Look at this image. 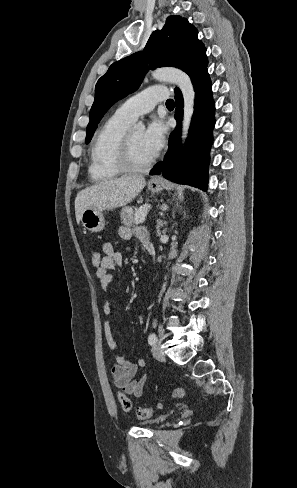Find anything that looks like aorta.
Listing matches in <instances>:
<instances>
[{
	"mask_svg": "<svg viewBox=\"0 0 297 488\" xmlns=\"http://www.w3.org/2000/svg\"><path fill=\"white\" fill-rule=\"evenodd\" d=\"M152 77L158 81H169L176 84L183 95V121H182V143L185 142L191 119L194 112L195 91L190 77L179 69L174 68H158L152 72ZM135 128H144L142 122H138Z\"/></svg>",
	"mask_w": 297,
	"mask_h": 488,
	"instance_id": "aorta-1",
	"label": "aorta"
}]
</instances>
